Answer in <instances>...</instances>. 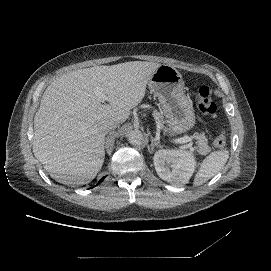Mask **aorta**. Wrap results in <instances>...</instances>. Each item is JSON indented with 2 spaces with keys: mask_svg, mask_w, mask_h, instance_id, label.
Here are the masks:
<instances>
[{
  "mask_svg": "<svg viewBox=\"0 0 271 271\" xmlns=\"http://www.w3.org/2000/svg\"><path fill=\"white\" fill-rule=\"evenodd\" d=\"M128 141L132 145H139L143 141V134L140 130H132L128 134Z\"/></svg>",
  "mask_w": 271,
  "mask_h": 271,
  "instance_id": "aorta-1",
  "label": "aorta"
}]
</instances>
